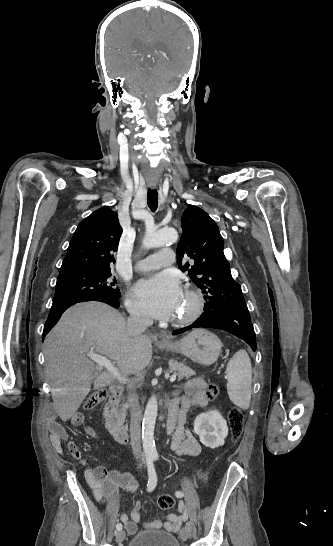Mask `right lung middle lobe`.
Instances as JSON below:
<instances>
[{"mask_svg": "<svg viewBox=\"0 0 333 546\" xmlns=\"http://www.w3.org/2000/svg\"><path fill=\"white\" fill-rule=\"evenodd\" d=\"M110 271L76 272L59 276L53 302L69 301L94 296L120 298L116 280L109 282Z\"/></svg>", "mask_w": 333, "mask_h": 546, "instance_id": "dd1d6c3e", "label": "right lung middle lobe"}]
</instances>
